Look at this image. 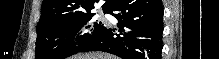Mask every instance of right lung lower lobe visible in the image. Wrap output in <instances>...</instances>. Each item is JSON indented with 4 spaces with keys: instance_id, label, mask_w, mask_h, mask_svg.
I'll return each mask as SVG.
<instances>
[{
    "instance_id": "98d812e1",
    "label": "right lung lower lobe",
    "mask_w": 219,
    "mask_h": 59,
    "mask_svg": "<svg viewBox=\"0 0 219 59\" xmlns=\"http://www.w3.org/2000/svg\"><path fill=\"white\" fill-rule=\"evenodd\" d=\"M108 13L118 20V28H106L80 52L98 50L122 59H160L161 0H115Z\"/></svg>"
}]
</instances>
